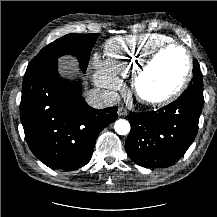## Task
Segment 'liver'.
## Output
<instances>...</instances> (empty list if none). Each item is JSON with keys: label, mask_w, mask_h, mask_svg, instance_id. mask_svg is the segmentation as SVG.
Segmentation results:
<instances>
[{"label": "liver", "mask_w": 217, "mask_h": 217, "mask_svg": "<svg viewBox=\"0 0 217 217\" xmlns=\"http://www.w3.org/2000/svg\"><path fill=\"white\" fill-rule=\"evenodd\" d=\"M60 73L69 74L71 72H77L76 60L71 57H64L60 60Z\"/></svg>", "instance_id": "1"}]
</instances>
